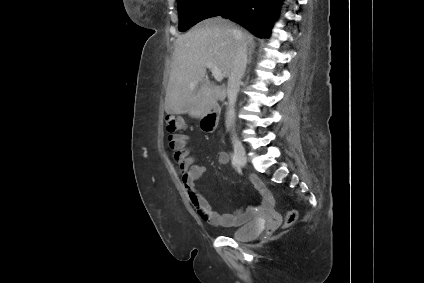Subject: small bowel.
Returning a JSON list of instances; mask_svg holds the SVG:
<instances>
[{
    "label": "small bowel",
    "mask_w": 424,
    "mask_h": 283,
    "mask_svg": "<svg viewBox=\"0 0 424 283\" xmlns=\"http://www.w3.org/2000/svg\"><path fill=\"white\" fill-rule=\"evenodd\" d=\"M189 142L190 138L186 134H173L169 137V147L174 151V159L178 164V173L183 187L199 217L210 225L218 227H234L245 223L252 216L253 208L220 214L211 209L207 200L196 188L195 183L205 173L206 168L196 164V157L193 155V148L189 146ZM216 159L219 164L226 165L229 162V155L227 152L221 151L217 153ZM251 181L264 198L263 206H270L272 199L265 185L254 176L251 177Z\"/></svg>",
    "instance_id": "1"
}]
</instances>
